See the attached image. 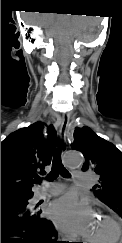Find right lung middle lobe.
I'll list each match as a JSON object with an SVG mask.
<instances>
[{
    "mask_svg": "<svg viewBox=\"0 0 122 243\" xmlns=\"http://www.w3.org/2000/svg\"><path fill=\"white\" fill-rule=\"evenodd\" d=\"M20 198H16V199H11V200H19Z\"/></svg>",
    "mask_w": 122,
    "mask_h": 243,
    "instance_id": "1",
    "label": "right lung middle lobe"
}]
</instances>
